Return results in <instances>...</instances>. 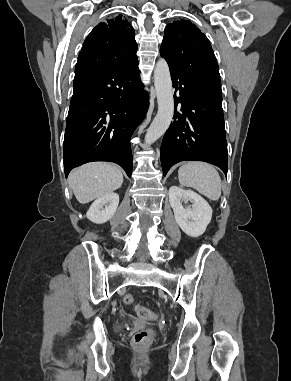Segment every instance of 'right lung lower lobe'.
<instances>
[{
	"label": "right lung lower lobe",
	"instance_id": "obj_1",
	"mask_svg": "<svg viewBox=\"0 0 291 381\" xmlns=\"http://www.w3.org/2000/svg\"><path fill=\"white\" fill-rule=\"evenodd\" d=\"M137 57L115 67H76L64 136V171L91 161L119 164L131 177L130 139L145 117Z\"/></svg>",
	"mask_w": 291,
	"mask_h": 381
}]
</instances>
